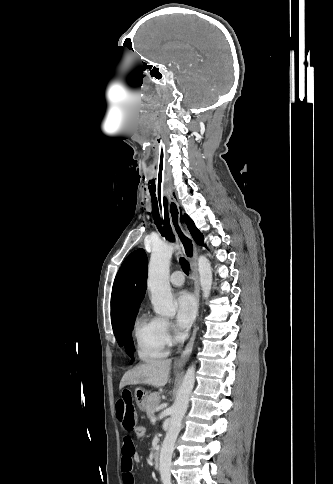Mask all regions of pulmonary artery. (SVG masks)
<instances>
[{"label": "pulmonary artery", "instance_id": "obj_1", "mask_svg": "<svg viewBox=\"0 0 333 484\" xmlns=\"http://www.w3.org/2000/svg\"><path fill=\"white\" fill-rule=\"evenodd\" d=\"M170 283L175 287H180L184 284V276L181 271H174L170 276Z\"/></svg>", "mask_w": 333, "mask_h": 484}]
</instances>
